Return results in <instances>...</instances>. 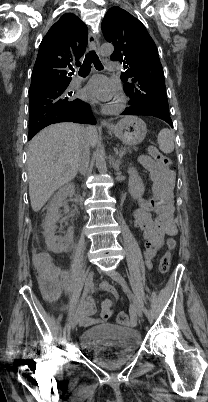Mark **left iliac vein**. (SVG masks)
Instances as JSON below:
<instances>
[{"instance_id":"4c4485c4","label":"left iliac vein","mask_w":208,"mask_h":402,"mask_svg":"<svg viewBox=\"0 0 208 402\" xmlns=\"http://www.w3.org/2000/svg\"><path fill=\"white\" fill-rule=\"evenodd\" d=\"M108 275L114 280L116 281L119 285L122 286V288L124 289V291L129 295V298L131 299L132 303H133V307L137 313V315L142 318L143 313H142V308L138 302V300L136 299V297L132 294V292L130 291L127 282L125 281V279L123 278V276L118 273L115 270H111L108 272Z\"/></svg>"}]
</instances>
